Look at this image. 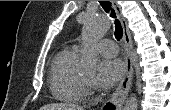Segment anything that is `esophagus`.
Returning a JSON list of instances; mask_svg holds the SVG:
<instances>
[{
  "label": "esophagus",
  "mask_w": 171,
  "mask_h": 110,
  "mask_svg": "<svg viewBox=\"0 0 171 110\" xmlns=\"http://www.w3.org/2000/svg\"><path fill=\"white\" fill-rule=\"evenodd\" d=\"M111 2L115 11L117 12L118 17L121 20L123 28V41L126 52L125 72L119 86L113 92L110 99L102 106V110H121L131 88L133 80L132 40L129 28L127 26V21L122 15L121 7L116 1Z\"/></svg>",
  "instance_id": "obj_1"
}]
</instances>
